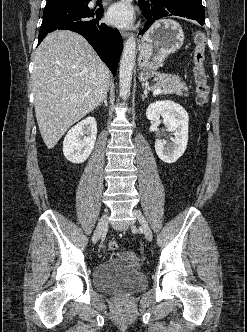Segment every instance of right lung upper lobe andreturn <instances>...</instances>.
Wrapping results in <instances>:
<instances>
[{
    "mask_svg": "<svg viewBox=\"0 0 247 332\" xmlns=\"http://www.w3.org/2000/svg\"><path fill=\"white\" fill-rule=\"evenodd\" d=\"M47 1H55V0H47Z\"/></svg>",
    "mask_w": 247,
    "mask_h": 332,
    "instance_id": "obj_1",
    "label": "right lung upper lobe"
}]
</instances>
